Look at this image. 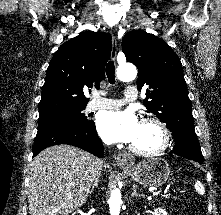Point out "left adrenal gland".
<instances>
[{
    "label": "left adrenal gland",
    "mask_w": 221,
    "mask_h": 215,
    "mask_svg": "<svg viewBox=\"0 0 221 215\" xmlns=\"http://www.w3.org/2000/svg\"><path fill=\"white\" fill-rule=\"evenodd\" d=\"M132 189H133V192H132V194H131V197H132V198L143 196V195L137 193V187H136V185H133V188H132Z\"/></svg>",
    "instance_id": "obj_1"
}]
</instances>
